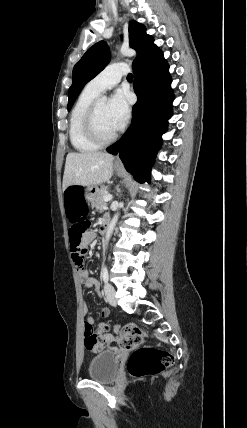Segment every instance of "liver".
<instances>
[{
    "label": "liver",
    "mask_w": 247,
    "mask_h": 428,
    "mask_svg": "<svg viewBox=\"0 0 247 428\" xmlns=\"http://www.w3.org/2000/svg\"><path fill=\"white\" fill-rule=\"evenodd\" d=\"M114 157L105 152L69 153L63 175V190L69 186H93L108 181L113 174Z\"/></svg>",
    "instance_id": "6515ba94"
}]
</instances>
